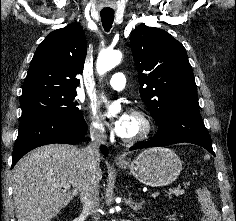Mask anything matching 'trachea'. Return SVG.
<instances>
[{"mask_svg":"<svg viewBox=\"0 0 236 221\" xmlns=\"http://www.w3.org/2000/svg\"><path fill=\"white\" fill-rule=\"evenodd\" d=\"M100 16L104 30L109 32L114 20V11H101Z\"/></svg>","mask_w":236,"mask_h":221,"instance_id":"obj_1","label":"trachea"}]
</instances>
